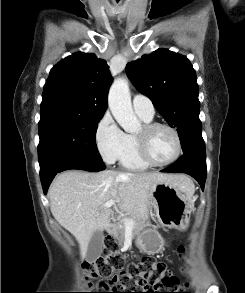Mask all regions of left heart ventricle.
Returning <instances> with one entry per match:
<instances>
[{
  "label": "left heart ventricle",
  "instance_id": "left-heart-ventricle-1",
  "mask_svg": "<svg viewBox=\"0 0 245 293\" xmlns=\"http://www.w3.org/2000/svg\"><path fill=\"white\" fill-rule=\"evenodd\" d=\"M136 135H143L142 128ZM148 154L155 162H165L175 153V139L173 134L165 128H157L147 136Z\"/></svg>",
  "mask_w": 245,
  "mask_h": 293
}]
</instances>
